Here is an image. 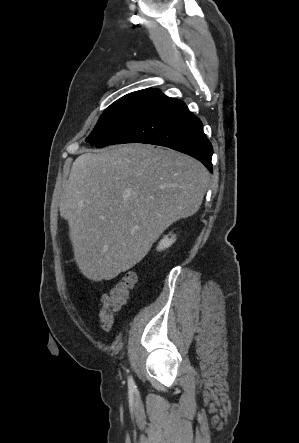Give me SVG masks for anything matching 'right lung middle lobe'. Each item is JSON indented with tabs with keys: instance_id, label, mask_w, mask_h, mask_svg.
<instances>
[{
	"instance_id": "1",
	"label": "right lung middle lobe",
	"mask_w": 299,
	"mask_h": 443,
	"mask_svg": "<svg viewBox=\"0 0 299 443\" xmlns=\"http://www.w3.org/2000/svg\"><path fill=\"white\" fill-rule=\"evenodd\" d=\"M161 95L158 89H144L121 97L103 112L86 141L98 148L110 145Z\"/></svg>"
}]
</instances>
